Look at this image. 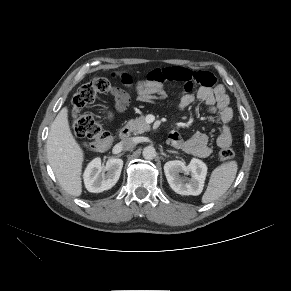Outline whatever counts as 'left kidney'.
<instances>
[{
	"mask_svg": "<svg viewBox=\"0 0 291 291\" xmlns=\"http://www.w3.org/2000/svg\"><path fill=\"white\" fill-rule=\"evenodd\" d=\"M164 172L167 181L173 191L180 195L201 194L204 181L207 175V166L199 159L193 158L188 166L182 161L174 160L165 163ZM190 174L191 178L187 181L180 177L179 173Z\"/></svg>",
	"mask_w": 291,
	"mask_h": 291,
	"instance_id": "5707ae66",
	"label": "left kidney"
}]
</instances>
